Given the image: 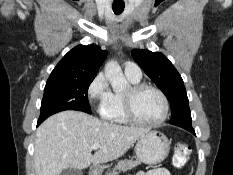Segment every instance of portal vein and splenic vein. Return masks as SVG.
Segmentation results:
<instances>
[{"mask_svg":"<svg viewBox=\"0 0 233 175\" xmlns=\"http://www.w3.org/2000/svg\"><path fill=\"white\" fill-rule=\"evenodd\" d=\"M98 148H100V145L99 144H93L90 149L91 150H97Z\"/></svg>","mask_w":233,"mask_h":175,"instance_id":"18ae733b","label":"portal vein and splenic vein"}]
</instances>
